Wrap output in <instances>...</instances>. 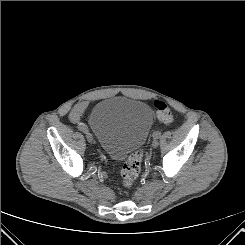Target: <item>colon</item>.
<instances>
[{
  "mask_svg": "<svg viewBox=\"0 0 245 245\" xmlns=\"http://www.w3.org/2000/svg\"><path fill=\"white\" fill-rule=\"evenodd\" d=\"M154 106L156 108V113L160 121L166 124H170L174 121V117L171 111L168 109V107L163 101L156 100L154 102ZM141 162V150H136L129 155L127 161L121 169L122 185L125 188H129L134 184L135 180L137 179L140 173Z\"/></svg>",
  "mask_w": 245,
  "mask_h": 245,
  "instance_id": "1",
  "label": "colon"
}]
</instances>
